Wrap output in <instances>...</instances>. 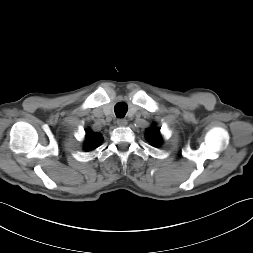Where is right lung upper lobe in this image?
I'll list each match as a JSON object with an SVG mask.
<instances>
[{
    "label": "right lung upper lobe",
    "instance_id": "1",
    "mask_svg": "<svg viewBox=\"0 0 253 253\" xmlns=\"http://www.w3.org/2000/svg\"><path fill=\"white\" fill-rule=\"evenodd\" d=\"M102 141H103V138L101 134L96 133V134L90 135L89 133H87L84 148L86 151H91L95 149Z\"/></svg>",
    "mask_w": 253,
    "mask_h": 253
}]
</instances>
